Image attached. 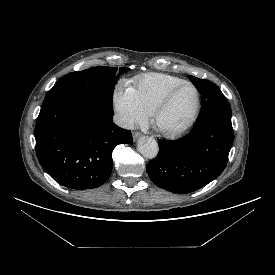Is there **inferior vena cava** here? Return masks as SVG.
<instances>
[{
    "label": "inferior vena cava",
    "instance_id": "602c4592",
    "mask_svg": "<svg viewBox=\"0 0 275 275\" xmlns=\"http://www.w3.org/2000/svg\"><path fill=\"white\" fill-rule=\"evenodd\" d=\"M113 121L115 124L124 129L130 130L134 128L133 120L124 114H115L113 117Z\"/></svg>",
    "mask_w": 275,
    "mask_h": 275
}]
</instances>
